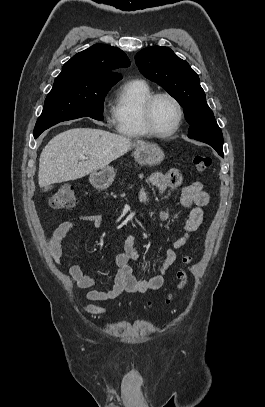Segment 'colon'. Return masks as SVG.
Wrapping results in <instances>:
<instances>
[{"label":"colon","instance_id":"5ec220e1","mask_svg":"<svg viewBox=\"0 0 265 407\" xmlns=\"http://www.w3.org/2000/svg\"><path fill=\"white\" fill-rule=\"evenodd\" d=\"M193 164L200 172L207 171L211 164L212 159L208 155L204 154H195L193 156ZM77 202V194L73 186L64 185L61 186L50 198L49 205L54 209H68L73 207ZM193 257L191 255H187L183 258V268L178 272V279H179V288H183L187 282V272L185 267L188 266L192 262ZM173 300V296L170 295L166 302L171 303Z\"/></svg>","mask_w":265,"mask_h":407}]
</instances>
